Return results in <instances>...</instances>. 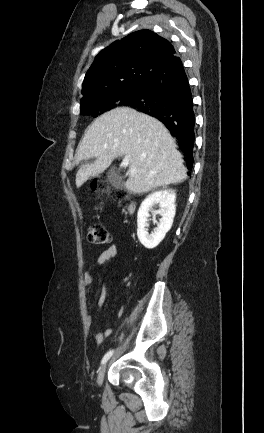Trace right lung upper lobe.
Masks as SVG:
<instances>
[{
	"instance_id": "right-lung-upper-lobe-1",
	"label": "right lung upper lobe",
	"mask_w": 264,
	"mask_h": 433,
	"mask_svg": "<svg viewBox=\"0 0 264 433\" xmlns=\"http://www.w3.org/2000/svg\"><path fill=\"white\" fill-rule=\"evenodd\" d=\"M175 53L168 40L150 30L131 33L96 56L85 75L81 100L141 85Z\"/></svg>"
}]
</instances>
